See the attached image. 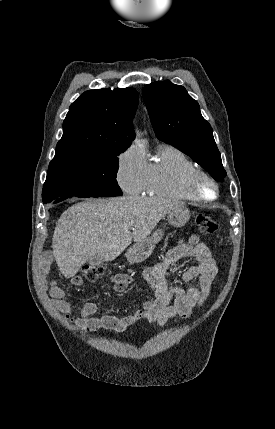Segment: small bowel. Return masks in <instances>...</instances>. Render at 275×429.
Listing matches in <instances>:
<instances>
[{
    "mask_svg": "<svg viewBox=\"0 0 275 429\" xmlns=\"http://www.w3.org/2000/svg\"><path fill=\"white\" fill-rule=\"evenodd\" d=\"M187 257L193 258L195 264L183 272L182 284H169L166 280L167 272L176 262ZM217 272L216 262L209 248L198 235L193 234L186 242H180L169 250L160 263L144 268L143 275L150 284L152 296L132 315L98 316L96 312L101 301L96 300L85 303L80 308L79 316L74 318L72 315L77 307L65 299L64 291L55 284L47 286V291L52 306L77 328L88 332L99 329L123 332L139 320L164 326L172 318L189 317L193 309L202 306L208 298ZM195 279H198L197 284L193 283ZM110 280L118 292L126 290L132 281L129 275L123 273L113 275ZM71 282L75 286H81L84 279L75 275Z\"/></svg>",
    "mask_w": 275,
    "mask_h": 429,
    "instance_id": "1",
    "label": "small bowel"
}]
</instances>
